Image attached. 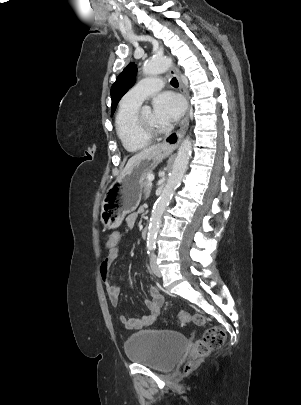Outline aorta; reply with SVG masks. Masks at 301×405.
Wrapping results in <instances>:
<instances>
[{
	"instance_id": "762f6f07",
	"label": "aorta",
	"mask_w": 301,
	"mask_h": 405,
	"mask_svg": "<svg viewBox=\"0 0 301 405\" xmlns=\"http://www.w3.org/2000/svg\"><path fill=\"white\" fill-rule=\"evenodd\" d=\"M170 64V60L166 57L154 58L144 63L143 72L147 75L163 73L168 70ZM191 150L192 142L190 137H186L178 148L172 171L170 172L166 185L161 195L156 200L152 210L147 234V247L149 249H153L155 247V241L161 224L162 215L187 170Z\"/></svg>"
}]
</instances>
